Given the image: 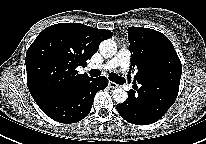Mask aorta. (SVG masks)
I'll return each mask as SVG.
<instances>
[{"label":"aorta","instance_id":"1","mask_svg":"<svg viewBox=\"0 0 206 144\" xmlns=\"http://www.w3.org/2000/svg\"><path fill=\"white\" fill-rule=\"evenodd\" d=\"M99 51L102 54V56L109 58L117 53V45L115 41L111 39H106L100 43ZM127 97L128 94L124 89L116 88L113 90V99L117 103L119 104L124 103L127 100Z\"/></svg>","mask_w":206,"mask_h":144}]
</instances>
